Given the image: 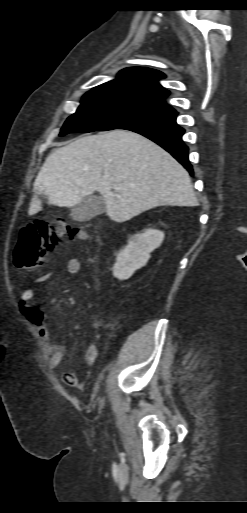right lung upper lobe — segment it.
Returning a JSON list of instances; mask_svg holds the SVG:
<instances>
[{
    "label": "right lung upper lobe",
    "mask_w": 247,
    "mask_h": 513,
    "mask_svg": "<svg viewBox=\"0 0 247 513\" xmlns=\"http://www.w3.org/2000/svg\"><path fill=\"white\" fill-rule=\"evenodd\" d=\"M165 78L162 72L145 67H131L119 72L118 78L97 86L133 93L146 101L160 106H167L165 99L169 91L164 89L159 80Z\"/></svg>",
    "instance_id": "right-lung-upper-lobe-1"
}]
</instances>
